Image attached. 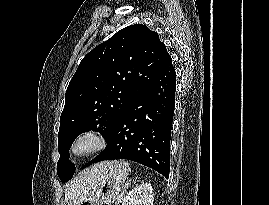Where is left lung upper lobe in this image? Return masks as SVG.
Masks as SVG:
<instances>
[{"instance_id":"obj_1","label":"left lung upper lobe","mask_w":269,"mask_h":205,"mask_svg":"<svg viewBox=\"0 0 269 205\" xmlns=\"http://www.w3.org/2000/svg\"><path fill=\"white\" fill-rule=\"evenodd\" d=\"M169 57L156 32L146 25L134 24L118 31L81 60L67 88L60 117L57 174L62 182L69 181L75 172L69 149L76 137L95 130L105 138Z\"/></svg>"}]
</instances>
